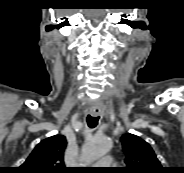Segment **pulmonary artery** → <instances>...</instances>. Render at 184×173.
I'll list each match as a JSON object with an SVG mask.
<instances>
[{
	"label": "pulmonary artery",
	"mask_w": 184,
	"mask_h": 173,
	"mask_svg": "<svg viewBox=\"0 0 184 173\" xmlns=\"http://www.w3.org/2000/svg\"><path fill=\"white\" fill-rule=\"evenodd\" d=\"M97 167H104L108 168L109 166L113 165V160L111 157L106 156L100 159L99 162L96 163Z\"/></svg>",
	"instance_id": "obj_1"
}]
</instances>
